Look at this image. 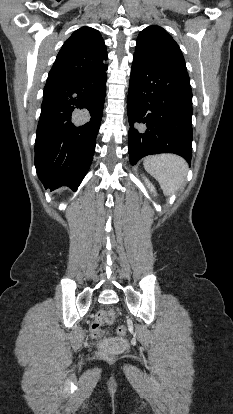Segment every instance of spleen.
I'll list each match as a JSON object with an SVG mask.
<instances>
[{
    "instance_id": "1",
    "label": "spleen",
    "mask_w": 233,
    "mask_h": 414,
    "mask_svg": "<svg viewBox=\"0 0 233 414\" xmlns=\"http://www.w3.org/2000/svg\"><path fill=\"white\" fill-rule=\"evenodd\" d=\"M145 170L160 184L165 195H171L184 187L188 165L175 154L152 155L144 159Z\"/></svg>"
}]
</instances>
